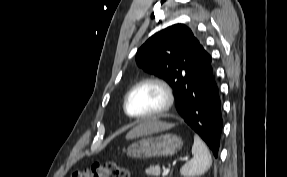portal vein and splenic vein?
Here are the masks:
<instances>
[{
	"mask_svg": "<svg viewBox=\"0 0 287 177\" xmlns=\"http://www.w3.org/2000/svg\"><path fill=\"white\" fill-rule=\"evenodd\" d=\"M185 160H187V159H185ZM169 172H170V168H169V167H168V168H165V169L163 170L162 176H163V177L167 176V175L169 174Z\"/></svg>",
	"mask_w": 287,
	"mask_h": 177,
	"instance_id": "obj_1",
	"label": "portal vein and splenic vein"
}]
</instances>
